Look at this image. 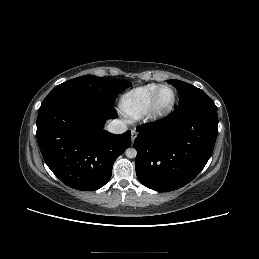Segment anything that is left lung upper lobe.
<instances>
[{
    "label": "left lung upper lobe",
    "instance_id": "obj_1",
    "mask_svg": "<svg viewBox=\"0 0 259 259\" xmlns=\"http://www.w3.org/2000/svg\"><path fill=\"white\" fill-rule=\"evenodd\" d=\"M168 82L176 87L180 96L179 104L176 109L195 105L216 107L214 101L201 89L180 80L172 79Z\"/></svg>",
    "mask_w": 259,
    "mask_h": 259
}]
</instances>
